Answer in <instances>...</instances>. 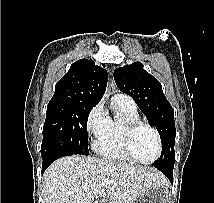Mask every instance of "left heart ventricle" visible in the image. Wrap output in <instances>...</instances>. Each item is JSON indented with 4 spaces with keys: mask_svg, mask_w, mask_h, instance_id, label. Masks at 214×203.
<instances>
[{
    "mask_svg": "<svg viewBox=\"0 0 214 203\" xmlns=\"http://www.w3.org/2000/svg\"><path fill=\"white\" fill-rule=\"evenodd\" d=\"M132 148L139 159L152 160L157 153V143L153 132L146 127L138 129L133 137Z\"/></svg>",
    "mask_w": 214,
    "mask_h": 203,
    "instance_id": "obj_1",
    "label": "left heart ventricle"
}]
</instances>
